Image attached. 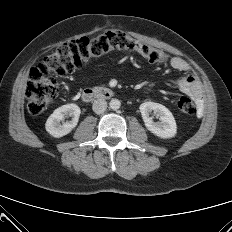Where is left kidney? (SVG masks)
<instances>
[{
	"instance_id": "obj_1",
	"label": "left kidney",
	"mask_w": 232,
	"mask_h": 232,
	"mask_svg": "<svg viewBox=\"0 0 232 232\" xmlns=\"http://www.w3.org/2000/svg\"><path fill=\"white\" fill-rule=\"evenodd\" d=\"M139 109L145 126L150 132L163 139L176 135V121L168 108L159 103L145 102L140 105ZM152 111L159 117L160 122H154L149 116Z\"/></svg>"
}]
</instances>
